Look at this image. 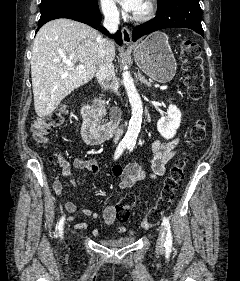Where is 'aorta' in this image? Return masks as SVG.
Here are the masks:
<instances>
[{"label":"aorta","instance_id":"aorta-1","mask_svg":"<svg viewBox=\"0 0 240 281\" xmlns=\"http://www.w3.org/2000/svg\"><path fill=\"white\" fill-rule=\"evenodd\" d=\"M122 78V82L125 86L132 109V116L129 121V126L124 140L127 143H135L140 132L142 123V101L134 85V81L131 77V74L128 71H125L122 75Z\"/></svg>","mask_w":240,"mask_h":281}]
</instances>
